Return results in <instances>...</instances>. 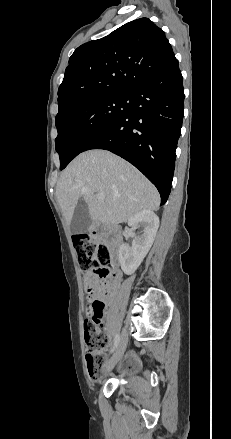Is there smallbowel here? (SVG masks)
I'll list each match as a JSON object with an SVG mask.
<instances>
[{"instance_id":"obj_1","label":"small bowel","mask_w":231,"mask_h":439,"mask_svg":"<svg viewBox=\"0 0 231 439\" xmlns=\"http://www.w3.org/2000/svg\"><path fill=\"white\" fill-rule=\"evenodd\" d=\"M85 282L87 284V296L88 298H95L100 300L103 303V307L108 303L109 301V293L108 291L114 290L115 286L108 287L106 290H102L99 286V279L97 276H95L93 273L85 275ZM104 310V308H103ZM103 318V312L101 316L99 317L100 322L102 323ZM107 346L105 345L104 348L101 350V353L104 354L106 351Z\"/></svg>"}]
</instances>
